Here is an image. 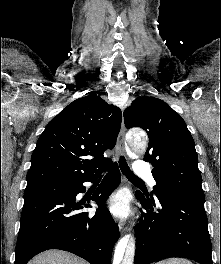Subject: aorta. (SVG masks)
Here are the masks:
<instances>
[{
	"mask_svg": "<svg viewBox=\"0 0 221 264\" xmlns=\"http://www.w3.org/2000/svg\"><path fill=\"white\" fill-rule=\"evenodd\" d=\"M129 144L133 151L144 153L147 148V139L144 135L132 134ZM135 237L126 235L117 243L113 264H133L135 255Z\"/></svg>",
	"mask_w": 221,
	"mask_h": 264,
	"instance_id": "aorta-1",
	"label": "aorta"
}]
</instances>
